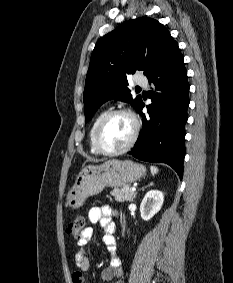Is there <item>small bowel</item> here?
Masks as SVG:
<instances>
[{
    "label": "small bowel",
    "instance_id": "c3829d8e",
    "mask_svg": "<svg viewBox=\"0 0 233 283\" xmlns=\"http://www.w3.org/2000/svg\"><path fill=\"white\" fill-rule=\"evenodd\" d=\"M116 216L115 209L110 205L93 207L89 210L88 218L91 223H100L104 230L103 243L107 250L111 253L110 264L102 271L101 277L104 281L116 280L115 283H123L121 261L116 255L117 243L114 236L115 223L113 218ZM93 236V229L87 227L83 230L78 242L75 262L77 271L72 275L73 283H84L83 273L89 268V260L87 258V245Z\"/></svg>",
    "mask_w": 233,
    "mask_h": 283
}]
</instances>
